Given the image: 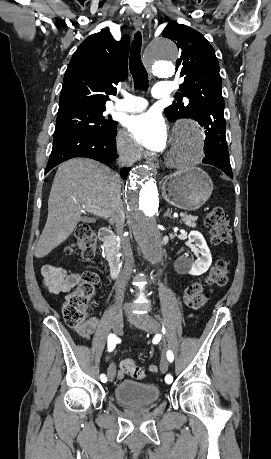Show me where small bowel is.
<instances>
[{
  "instance_id": "small-bowel-1",
  "label": "small bowel",
  "mask_w": 271,
  "mask_h": 459,
  "mask_svg": "<svg viewBox=\"0 0 271 459\" xmlns=\"http://www.w3.org/2000/svg\"><path fill=\"white\" fill-rule=\"evenodd\" d=\"M43 287L53 294L69 292L81 281L82 274L69 273L65 268L53 265H46L42 269ZM98 320L95 317L88 318L84 323L74 327V332L81 338L90 339L96 332ZM109 359V356H107ZM155 371V367L150 368ZM118 377L122 379L124 373L118 372Z\"/></svg>"
}]
</instances>
